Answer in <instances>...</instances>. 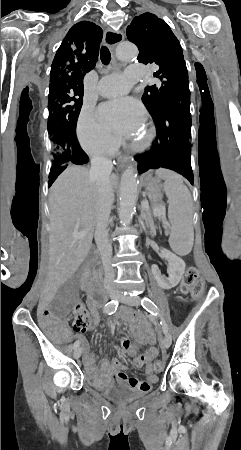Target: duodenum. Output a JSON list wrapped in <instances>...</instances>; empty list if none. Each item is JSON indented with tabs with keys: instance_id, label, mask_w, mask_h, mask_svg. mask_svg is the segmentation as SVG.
I'll use <instances>...</instances> for the list:
<instances>
[{
	"instance_id": "410a0bca",
	"label": "duodenum",
	"mask_w": 241,
	"mask_h": 450,
	"mask_svg": "<svg viewBox=\"0 0 241 450\" xmlns=\"http://www.w3.org/2000/svg\"><path fill=\"white\" fill-rule=\"evenodd\" d=\"M101 264L99 261H97L95 263V268L96 270H99ZM92 298L100 303L103 301L104 297H105V291L103 289L102 283L99 280L97 274H94L90 280V289H89Z\"/></svg>"
}]
</instances>
